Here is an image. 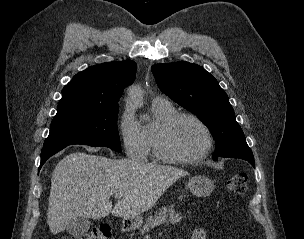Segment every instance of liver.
I'll use <instances>...</instances> for the list:
<instances>
[{"instance_id":"6515ba94","label":"liver","mask_w":304,"mask_h":239,"mask_svg":"<svg viewBox=\"0 0 304 239\" xmlns=\"http://www.w3.org/2000/svg\"><path fill=\"white\" fill-rule=\"evenodd\" d=\"M186 175L187 171L171 166L71 153L52 174L47 211L50 232L64 231L77 217L100 219L112 214L136 218ZM117 193L123 196L113 207L109 199Z\"/></svg>"}]
</instances>
